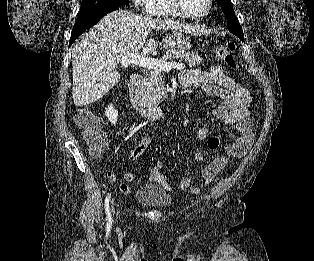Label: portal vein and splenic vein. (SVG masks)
<instances>
[{
  "label": "portal vein and splenic vein",
  "mask_w": 314,
  "mask_h": 261,
  "mask_svg": "<svg viewBox=\"0 0 314 261\" xmlns=\"http://www.w3.org/2000/svg\"><path fill=\"white\" fill-rule=\"evenodd\" d=\"M118 63L123 67H127L128 65L133 64L149 69H156L167 72L171 69L181 70L185 68V65L182 63L166 62L162 59L148 58L144 56H139L134 53H128L124 55Z\"/></svg>",
  "instance_id": "obj_1"
}]
</instances>
